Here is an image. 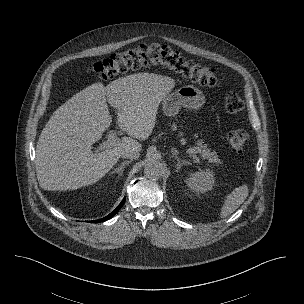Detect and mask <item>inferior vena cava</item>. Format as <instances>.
<instances>
[{
	"mask_svg": "<svg viewBox=\"0 0 304 304\" xmlns=\"http://www.w3.org/2000/svg\"><path fill=\"white\" fill-rule=\"evenodd\" d=\"M121 156L123 158L137 159L140 156V152H139V150H136V149H130V150H127V151H123L121 153Z\"/></svg>",
	"mask_w": 304,
	"mask_h": 304,
	"instance_id": "obj_1",
	"label": "inferior vena cava"
}]
</instances>
